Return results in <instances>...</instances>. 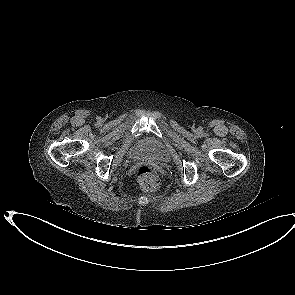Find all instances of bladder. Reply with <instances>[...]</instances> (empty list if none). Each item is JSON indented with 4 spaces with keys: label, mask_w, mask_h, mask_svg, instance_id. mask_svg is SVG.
Returning a JSON list of instances; mask_svg holds the SVG:
<instances>
[{
    "label": "bladder",
    "mask_w": 295,
    "mask_h": 295,
    "mask_svg": "<svg viewBox=\"0 0 295 295\" xmlns=\"http://www.w3.org/2000/svg\"><path fill=\"white\" fill-rule=\"evenodd\" d=\"M134 158H146L156 162L167 160L166 147L160 141L146 138L138 141L131 150Z\"/></svg>",
    "instance_id": "31cf9c89"
}]
</instances>
